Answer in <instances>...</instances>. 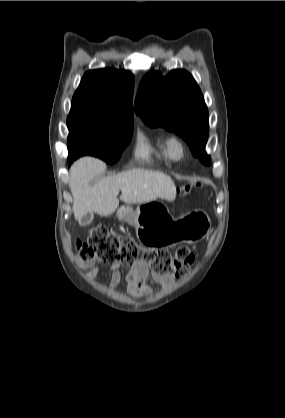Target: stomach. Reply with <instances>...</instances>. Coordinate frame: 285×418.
<instances>
[{
	"label": "stomach",
	"mask_w": 285,
	"mask_h": 418,
	"mask_svg": "<svg viewBox=\"0 0 285 418\" xmlns=\"http://www.w3.org/2000/svg\"><path fill=\"white\" fill-rule=\"evenodd\" d=\"M139 206L136 211L124 206L117 212L120 220L136 229L137 238L144 244L152 245L160 240L166 244L193 243L205 237L210 231L209 217L200 211H193L178 219L166 217L163 221L159 212H148Z\"/></svg>",
	"instance_id": "1"
}]
</instances>
